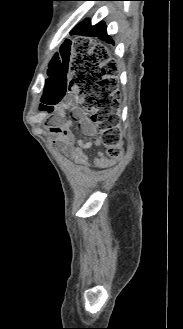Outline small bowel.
I'll list each match as a JSON object with an SVG mask.
<instances>
[{
  "instance_id": "c3829d8e",
  "label": "small bowel",
  "mask_w": 183,
  "mask_h": 329,
  "mask_svg": "<svg viewBox=\"0 0 183 329\" xmlns=\"http://www.w3.org/2000/svg\"><path fill=\"white\" fill-rule=\"evenodd\" d=\"M75 119L79 122L82 131L90 136L92 140H76L74 132L71 130V123L67 122L61 127H53L52 132H55L61 149L67 153L75 161L86 164L87 156L84 150L89 149L92 144H98L99 140L95 136V128L89 119L79 110L74 114ZM108 163L107 158L102 152H98L94 160L96 167L104 166Z\"/></svg>"
}]
</instances>
